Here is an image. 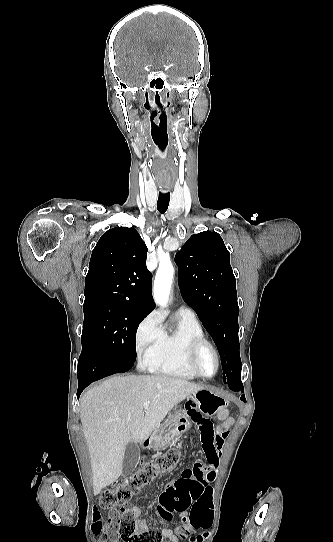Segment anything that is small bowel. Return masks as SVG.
Listing matches in <instances>:
<instances>
[{
	"instance_id": "c3829d8e",
	"label": "small bowel",
	"mask_w": 333,
	"mask_h": 542,
	"mask_svg": "<svg viewBox=\"0 0 333 542\" xmlns=\"http://www.w3.org/2000/svg\"><path fill=\"white\" fill-rule=\"evenodd\" d=\"M187 407H194V404H187ZM188 416L197 422V431L200 432V439L202 448L206 456L207 464H214L218 459L223 457L221 451L226 440L230 427L234 424L233 418H228L221 425L220 417L224 416L223 413L216 410L209 416V419H205L196 410L192 409L188 412ZM196 464L202 466V471L207 470V464L203 462H197ZM194 479V476H192ZM199 480L201 490L203 488L202 483ZM206 490V489H205ZM210 502L204 504L201 499L195 501L189 514H182L181 521L172 528H161L157 532L161 535L162 542H179V538H184L187 534L194 532L195 529L211 530V513ZM132 516L135 519V528L137 532H144L149 530L146 519L142 517V509L139 506H132ZM122 514V513H121Z\"/></svg>"
}]
</instances>
